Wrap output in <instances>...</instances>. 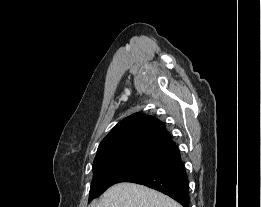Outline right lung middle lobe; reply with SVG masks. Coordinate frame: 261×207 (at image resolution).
<instances>
[{
  "instance_id": "1",
  "label": "right lung middle lobe",
  "mask_w": 261,
  "mask_h": 207,
  "mask_svg": "<svg viewBox=\"0 0 261 207\" xmlns=\"http://www.w3.org/2000/svg\"><path fill=\"white\" fill-rule=\"evenodd\" d=\"M159 162L146 158H125L93 165V180L90 187L89 201L101 195L110 186L124 182Z\"/></svg>"
}]
</instances>
